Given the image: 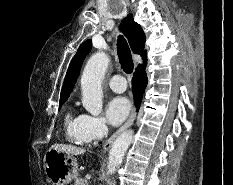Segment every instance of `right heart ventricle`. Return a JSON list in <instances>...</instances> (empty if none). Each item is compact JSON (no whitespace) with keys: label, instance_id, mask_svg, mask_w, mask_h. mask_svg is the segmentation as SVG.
I'll return each mask as SVG.
<instances>
[{"label":"right heart ventricle","instance_id":"obj_1","mask_svg":"<svg viewBox=\"0 0 233 185\" xmlns=\"http://www.w3.org/2000/svg\"><path fill=\"white\" fill-rule=\"evenodd\" d=\"M83 115L77 114L75 111L70 110L65 117V127L68 138L76 143H86L82 133Z\"/></svg>","mask_w":233,"mask_h":185}]
</instances>
